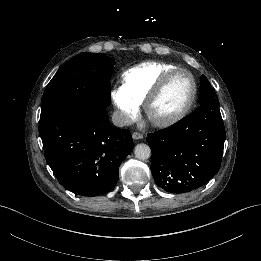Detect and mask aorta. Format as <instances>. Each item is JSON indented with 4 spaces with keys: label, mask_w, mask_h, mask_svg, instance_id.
Wrapping results in <instances>:
<instances>
[{
    "label": "aorta",
    "mask_w": 261,
    "mask_h": 261,
    "mask_svg": "<svg viewBox=\"0 0 261 261\" xmlns=\"http://www.w3.org/2000/svg\"><path fill=\"white\" fill-rule=\"evenodd\" d=\"M135 157L139 160H146L151 155V149L147 144H137L134 149Z\"/></svg>",
    "instance_id": "obj_1"
}]
</instances>
